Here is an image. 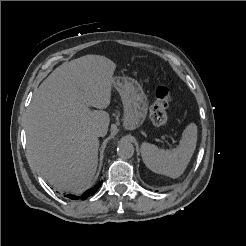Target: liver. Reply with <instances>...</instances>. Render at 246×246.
Masks as SVG:
<instances>
[{
    "label": "liver",
    "instance_id": "6515ba94",
    "mask_svg": "<svg viewBox=\"0 0 246 246\" xmlns=\"http://www.w3.org/2000/svg\"><path fill=\"white\" fill-rule=\"evenodd\" d=\"M116 65L86 55L57 67L34 92L25 131L30 161L59 191L80 194L93 183L98 163L94 129L108 131ZM99 110H90L89 107Z\"/></svg>",
    "mask_w": 246,
    "mask_h": 246
}]
</instances>
